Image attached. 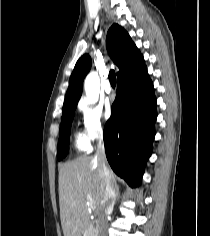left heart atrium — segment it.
<instances>
[{"label": "left heart atrium", "instance_id": "1", "mask_svg": "<svg viewBox=\"0 0 210 236\" xmlns=\"http://www.w3.org/2000/svg\"><path fill=\"white\" fill-rule=\"evenodd\" d=\"M111 116V106L110 104H106L105 106V117L109 118Z\"/></svg>", "mask_w": 210, "mask_h": 236}]
</instances>
